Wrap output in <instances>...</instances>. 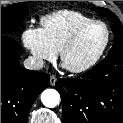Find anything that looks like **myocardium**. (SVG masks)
<instances>
[{"instance_id":"f54148a6","label":"myocardium","mask_w":123,"mask_h":123,"mask_svg":"<svg viewBox=\"0 0 123 123\" xmlns=\"http://www.w3.org/2000/svg\"><path fill=\"white\" fill-rule=\"evenodd\" d=\"M94 25H101L106 32V39L105 42L103 44V46L101 47V49L99 50V52L96 54V56L89 61L87 64L83 65V66H79V67H70L66 65V56L68 54V52L74 47V45L77 43L78 39L80 38V36L90 27L94 26ZM111 40V32L109 27L107 26L106 23H104L103 21L100 20H93L89 23H86L84 25H82L81 27H79L73 34L72 36L67 40V42L63 45L62 49L60 50V59L61 62L63 64V66L70 72L72 73H83L86 72L90 69H92L99 61L100 59L103 57L104 53L106 52L109 43Z\"/></svg>"}]
</instances>
